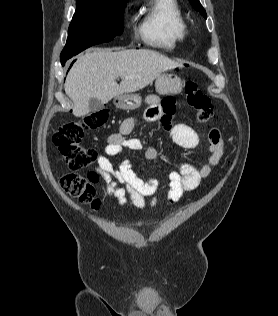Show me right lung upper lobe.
I'll list each match as a JSON object with an SVG mask.
<instances>
[{
    "mask_svg": "<svg viewBox=\"0 0 278 316\" xmlns=\"http://www.w3.org/2000/svg\"><path fill=\"white\" fill-rule=\"evenodd\" d=\"M77 1H85V0H77ZM88 1H99V2H116L121 0H88Z\"/></svg>",
    "mask_w": 278,
    "mask_h": 316,
    "instance_id": "1",
    "label": "right lung upper lobe"
}]
</instances>
